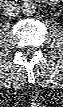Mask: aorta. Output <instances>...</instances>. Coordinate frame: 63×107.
Masks as SVG:
<instances>
[{"mask_svg":"<svg viewBox=\"0 0 63 107\" xmlns=\"http://www.w3.org/2000/svg\"><path fill=\"white\" fill-rule=\"evenodd\" d=\"M21 10L26 15H32L36 11V4L31 0H26L21 4Z\"/></svg>","mask_w":63,"mask_h":107,"instance_id":"aorta-1","label":"aorta"}]
</instances>
